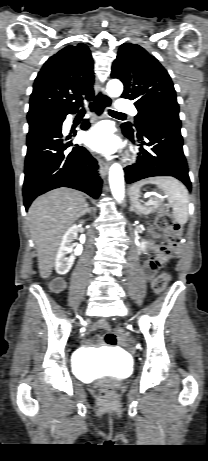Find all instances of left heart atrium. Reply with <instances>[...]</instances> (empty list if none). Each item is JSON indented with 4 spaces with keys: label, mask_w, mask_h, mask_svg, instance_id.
<instances>
[{
    "label": "left heart atrium",
    "mask_w": 208,
    "mask_h": 461,
    "mask_svg": "<svg viewBox=\"0 0 208 461\" xmlns=\"http://www.w3.org/2000/svg\"><path fill=\"white\" fill-rule=\"evenodd\" d=\"M86 144L94 151L112 153L119 146V140L106 124H99L89 131L85 137Z\"/></svg>",
    "instance_id": "1"
}]
</instances>
